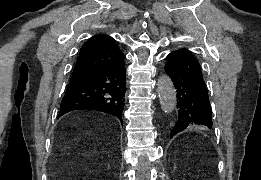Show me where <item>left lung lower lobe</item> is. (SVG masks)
<instances>
[{
	"label": "left lung lower lobe",
	"mask_w": 261,
	"mask_h": 180,
	"mask_svg": "<svg viewBox=\"0 0 261 180\" xmlns=\"http://www.w3.org/2000/svg\"><path fill=\"white\" fill-rule=\"evenodd\" d=\"M165 71L176 90L178 120L171 137L186 128H212V110L201 66L187 49H179L167 57Z\"/></svg>",
	"instance_id": "1"
}]
</instances>
